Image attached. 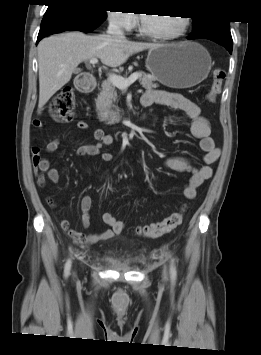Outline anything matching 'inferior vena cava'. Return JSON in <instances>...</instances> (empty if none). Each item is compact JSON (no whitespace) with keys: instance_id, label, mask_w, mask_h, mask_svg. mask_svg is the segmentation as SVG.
<instances>
[{"instance_id":"1","label":"inferior vena cava","mask_w":261,"mask_h":355,"mask_svg":"<svg viewBox=\"0 0 261 355\" xmlns=\"http://www.w3.org/2000/svg\"><path fill=\"white\" fill-rule=\"evenodd\" d=\"M107 35L119 39V40H124L125 35L124 32L121 29L120 23L116 19H111L108 29H107Z\"/></svg>"}]
</instances>
